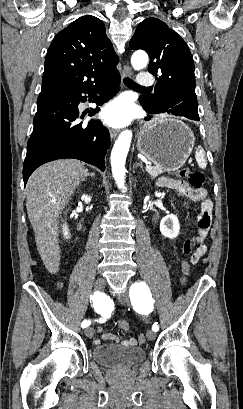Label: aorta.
<instances>
[{
  "label": "aorta",
  "mask_w": 243,
  "mask_h": 409,
  "mask_svg": "<svg viewBox=\"0 0 243 409\" xmlns=\"http://www.w3.org/2000/svg\"><path fill=\"white\" fill-rule=\"evenodd\" d=\"M135 70L143 69L148 64V55L145 52H135L131 58ZM132 140V132L123 131L116 140L111 152L112 174L119 189L125 190V162Z\"/></svg>",
  "instance_id": "1"
}]
</instances>
